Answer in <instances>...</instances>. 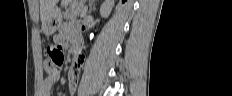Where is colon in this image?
<instances>
[{"label": "colon", "mask_w": 232, "mask_h": 96, "mask_svg": "<svg viewBox=\"0 0 232 96\" xmlns=\"http://www.w3.org/2000/svg\"><path fill=\"white\" fill-rule=\"evenodd\" d=\"M49 51V65H48V72L49 73H57L62 66L64 65V53H63V48L58 45H51L48 48Z\"/></svg>", "instance_id": "colon-1"}]
</instances>
